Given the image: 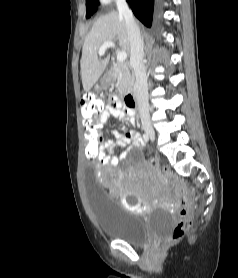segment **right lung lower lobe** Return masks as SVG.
<instances>
[{
  "label": "right lung lower lobe",
  "mask_w": 238,
  "mask_h": 278,
  "mask_svg": "<svg viewBox=\"0 0 238 278\" xmlns=\"http://www.w3.org/2000/svg\"><path fill=\"white\" fill-rule=\"evenodd\" d=\"M134 15L147 27H151L154 0H127Z\"/></svg>",
  "instance_id": "98d812e1"
}]
</instances>
